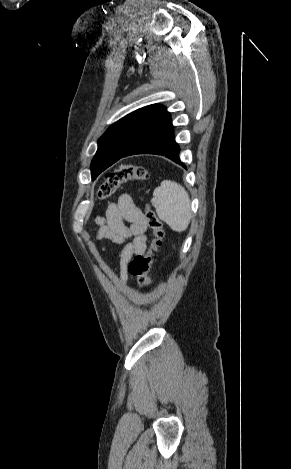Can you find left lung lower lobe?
<instances>
[{
	"label": "left lung lower lobe",
	"mask_w": 291,
	"mask_h": 469,
	"mask_svg": "<svg viewBox=\"0 0 291 469\" xmlns=\"http://www.w3.org/2000/svg\"><path fill=\"white\" fill-rule=\"evenodd\" d=\"M179 152L180 148L175 141L172 120L169 118L164 124L147 134L139 142L133 145L127 152L120 155L115 160L118 161L123 157L134 154L146 153L165 156L184 166V164L180 161Z\"/></svg>",
	"instance_id": "0a47b994"
}]
</instances>
